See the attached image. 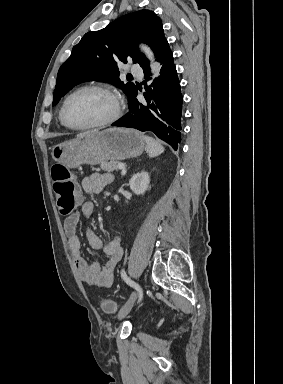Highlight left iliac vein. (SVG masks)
<instances>
[{"instance_id":"obj_1","label":"left iliac vein","mask_w":283,"mask_h":384,"mask_svg":"<svg viewBox=\"0 0 283 384\" xmlns=\"http://www.w3.org/2000/svg\"><path fill=\"white\" fill-rule=\"evenodd\" d=\"M137 293L133 292L132 295L130 296L129 300L127 301V303L121 308V310L118 313V319L119 320H122L123 318H125L127 316V314L131 311L132 305H133V303L137 297Z\"/></svg>"}]
</instances>
